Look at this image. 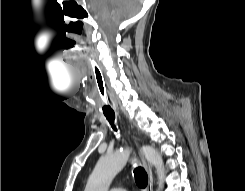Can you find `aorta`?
I'll return each mask as SVG.
<instances>
[{
  "label": "aorta",
  "instance_id": "1",
  "mask_svg": "<svg viewBox=\"0 0 245 191\" xmlns=\"http://www.w3.org/2000/svg\"><path fill=\"white\" fill-rule=\"evenodd\" d=\"M142 153L156 168L158 176V191L164 188L165 169L159 152L151 146H143ZM129 158V150H118L102 156L90 175L85 191H109L114 177L123 169Z\"/></svg>",
  "mask_w": 245,
  "mask_h": 191
}]
</instances>
